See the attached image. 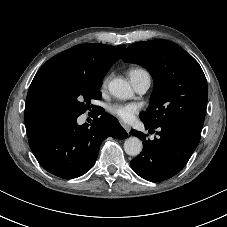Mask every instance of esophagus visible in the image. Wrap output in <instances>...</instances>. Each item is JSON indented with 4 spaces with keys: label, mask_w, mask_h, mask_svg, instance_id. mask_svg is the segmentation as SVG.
Here are the masks:
<instances>
[{
    "label": "esophagus",
    "mask_w": 227,
    "mask_h": 227,
    "mask_svg": "<svg viewBox=\"0 0 227 227\" xmlns=\"http://www.w3.org/2000/svg\"><path fill=\"white\" fill-rule=\"evenodd\" d=\"M121 125L123 126V128L126 130V132L129 134L131 131V127L125 123H121Z\"/></svg>",
    "instance_id": "1"
}]
</instances>
